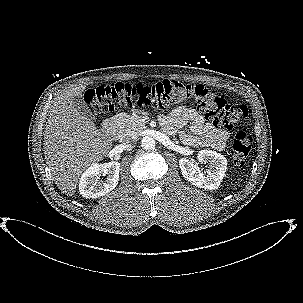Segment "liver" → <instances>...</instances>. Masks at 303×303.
<instances>
[{"label": "liver", "mask_w": 303, "mask_h": 303, "mask_svg": "<svg viewBox=\"0 0 303 303\" xmlns=\"http://www.w3.org/2000/svg\"><path fill=\"white\" fill-rule=\"evenodd\" d=\"M86 85H75L58 95L51 106L44 132V154L52 178L66 195H73L82 173L102 160L112 148L108 130H98L94 122L75 107Z\"/></svg>", "instance_id": "6515ba94"}]
</instances>
